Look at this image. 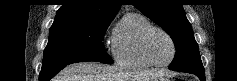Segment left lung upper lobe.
<instances>
[{"instance_id": "left-lung-upper-lobe-1", "label": "left lung upper lobe", "mask_w": 237, "mask_h": 81, "mask_svg": "<svg viewBox=\"0 0 237 81\" xmlns=\"http://www.w3.org/2000/svg\"><path fill=\"white\" fill-rule=\"evenodd\" d=\"M133 5L162 27L172 38L176 54L169 69L204 73L192 27L181 4L176 0H133Z\"/></svg>"}]
</instances>
